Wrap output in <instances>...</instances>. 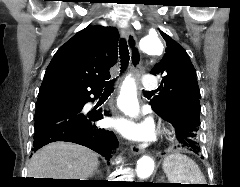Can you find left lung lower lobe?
I'll return each instance as SVG.
<instances>
[{
  "label": "left lung lower lobe",
  "mask_w": 240,
  "mask_h": 187,
  "mask_svg": "<svg viewBox=\"0 0 240 187\" xmlns=\"http://www.w3.org/2000/svg\"><path fill=\"white\" fill-rule=\"evenodd\" d=\"M160 115V114H158ZM164 120L170 122L176 131L178 142L182 147H185L195 153L200 150L198 142L199 128L195 123L184 118L173 117L171 115H160Z\"/></svg>",
  "instance_id": "0a47b994"
}]
</instances>
